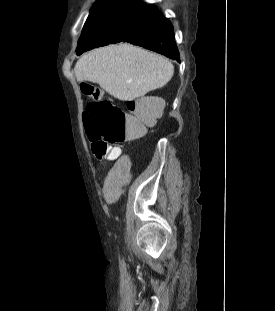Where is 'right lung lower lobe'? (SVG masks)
<instances>
[{
	"instance_id": "98d812e1",
	"label": "right lung lower lobe",
	"mask_w": 275,
	"mask_h": 311,
	"mask_svg": "<svg viewBox=\"0 0 275 311\" xmlns=\"http://www.w3.org/2000/svg\"><path fill=\"white\" fill-rule=\"evenodd\" d=\"M122 41L142 46L180 62L173 26L159 11L134 25Z\"/></svg>"
}]
</instances>
